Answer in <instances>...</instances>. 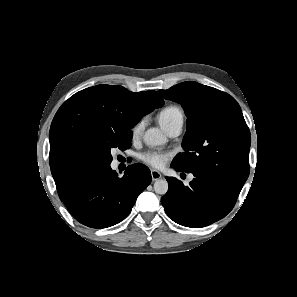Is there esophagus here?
Returning <instances> with one entry per match:
<instances>
[{
  "mask_svg": "<svg viewBox=\"0 0 297 297\" xmlns=\"http://www.w3.org/2000/svg\"><path fill=\"white\" fill-rule=\"evenodd\" d=\"M151 177L153 181H156V180H159L162 177V175L157 170H151Z\"/></svg>",
  "mask_w": 297,
  "mask_h": 297,
  "instance_id": "1",
  "label": "esophagus"
}]
</instances>
